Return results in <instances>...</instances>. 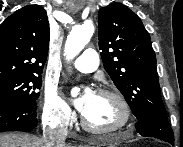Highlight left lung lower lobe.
Returning a JSON list of instances; mask_svg holds the SVG:
<instances>
[{"instance_id":"1","label":"left lung lower lobe","mask_w":183,"mask_h":147,"mask_svg":"<svg viewBox=\"0 0 183 147\" xmlns=\"http://www.w3.org/2000/svg\"><path fill=\"white\" fill-rule=\"evenodd\" d=\"M136 130L142 136L155 137L174 145V134L167 117L148 115L138 119Z\"/></svg>"}]
</instances>
